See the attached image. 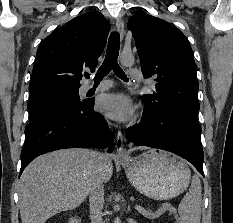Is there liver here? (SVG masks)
I'll return each mask as SVG.
<instances>
[{
	"mask_svg": "<svg viewBox=\"0 0 233 223\" xmlns=\"http://www.w3.org/2000/svg\"><path fill=\"white\" fill-rule=\"evenodd\" d=\"M149 149V147H139ZM92 149H58L39 155L25 167L18 181L22 223H45L46 219L75 209L89 193ZM113 163L105 155L102 179L112 177Z\"/></svg>",
	"mask_w": 233,
	"mask_h": 223,
	"instance_id": "obj_1",
	"label": "liver"
}]
</instances>
